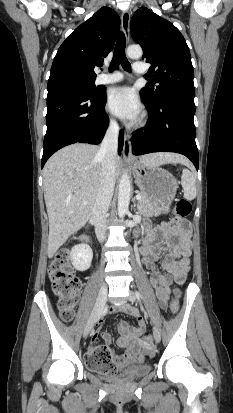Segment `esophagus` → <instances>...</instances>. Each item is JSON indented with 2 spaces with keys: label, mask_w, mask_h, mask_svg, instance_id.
<instances>
[{
  "label": "esophagus",
  "mask_w": 233,
  "mask_h": 413,
  "mask_svg": "<svg viewBox=\"0 0 233 413\" xmlns=\"http://www.w3.org/2000/svg\"><path fill=\"white\" fill-rule=\"evenodd\" d=\"M121 27L125 35L126 41H129V31H130V12L125 10L121 15ZM128 133L124 134V144H123V157L126 161H132L131 153V140Z\"/></svg>",
  "instance_id": "34e87169"
}]
</instances>
